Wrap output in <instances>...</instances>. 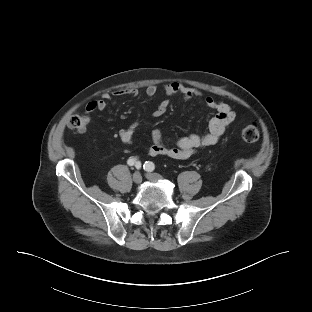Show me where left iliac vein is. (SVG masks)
<instances>
[{"mask_svg":"<svg viewBox=\"0 0 312 312\" xmlns=\"http://www.w3.org/2000/svg\"><path fill=\"white\" fill-rule=\"evenodd\" d=\"M146 177H147V179H149L151 181H157V180H160L162 178L161 175H159L157 173H147Z\"/></svg>","mask_w":312,"mask_h":312,"instance_id":"1","label":"left iliac vein"}]
</instances>
